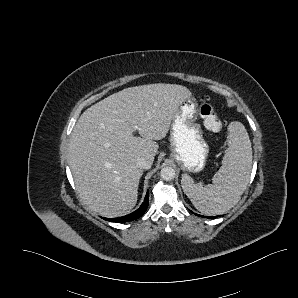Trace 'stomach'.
Returning a JSON list of instances; mask_svg holds the SVG:
<instances>
[{
    "mask_svg": "<svg viewBox=\"0 0 298 298\" xmlns=\"http://www.w3.org/2000/svg\"><path fill=\"white\" fill-rule=\"evenodd\" d=\"M197 118L198 103L190 97L181 102L170 127V157L184 172H201L209 156V145Z\"/></svg>",
    "mask_w": 298,
    "mask_h": 298,
    "instance_id": "0dacf381",
    "label": "stomach"
}]
</instances>
